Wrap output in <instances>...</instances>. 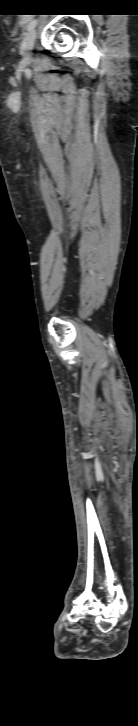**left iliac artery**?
<instances>
[{
	"label": "left iliac artery",
	"instance_id": "1",
	"mask_svg": "<svg viewBox=\"0 0 138 726\" xmlns=\"http://www.w3.org/2000/svg\"><path fill=\"white\" fill-rule=\"evenodd\" d=\"M36 24H37V19H32L27 26V30L30 31V30L34 29Z\"/></svg>",
	"mask_w": 138,
	"mask_h": 726
}]
</instances>
